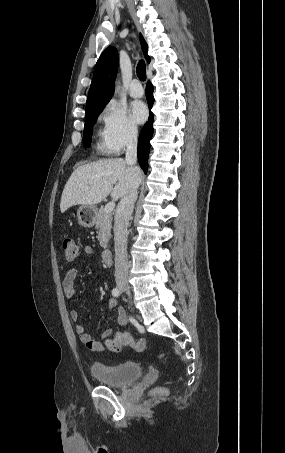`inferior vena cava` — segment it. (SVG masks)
<instances>
[{"mask_svg": "<svg viewBox=\"0 0 285 453\" xmlns=\"http://www.w3.org/2000/svg\"><path fill=\"white\" fill-rule=\"evenodd\" d=\"M126 163L138 173L137 162V129H132L127 138ZM140 179L135 178L131 190L118 204L114 218L115 280L116 283L128 281L127 237L128 224L138 196Z\"/></svg>", "mask_w": 285, "mask_h": 453, "instance_id": "inferior-vena-cava-1", "label": "inferior vena cava"}]
</instances>
